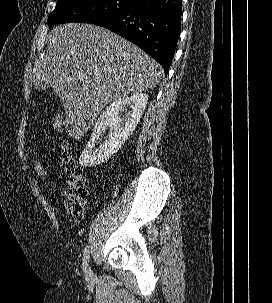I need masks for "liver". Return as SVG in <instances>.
Masks as SVG:
<instances>
[{
  "instance_id": "obj_1",
  "label": "liver",
  "mask_w": 272,
  "mask_h": 303,
  "mask_svg": "<svg viewBox=\"0 0 272 303\" xmlns=\"http://www.w3.org/2000/svg\"><path fill=\"white\" fill-rule=\"evenodd\" d=\"M163 73L142 49L110 30L68 23L48 35L32 81L39 90L54 89L65 110L66 131L79 140L107 104L154 89Z\"/></svg>"
}]
</instances>
